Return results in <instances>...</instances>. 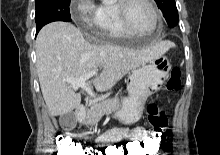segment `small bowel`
<instances>
[{
    "mask_svg": "<svg viewBox=\"0 0 220 155\" xmlns=\"http://www.w3.org/2000/svg\"><path fill=\"white\" fill-rule=\"evenodd\" d=\"M132 130H106L101 136H93L92 140H88V145L98 144H115L116 141H125L129 139H145V135H150L140 126H132Z\"/></svg>",
    "mask_w": 220,
    "mask_h": 155,
    "instance_id": "c3829d8e",
    "label": "small bowel"
}]
</instances>
